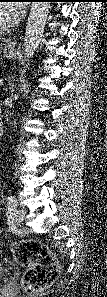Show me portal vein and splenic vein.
Here are the masks:
<instances>
[{"mask_svg": "<svg viewBox=\"0 0 107 297\" xmlns=\"http://www.w3.org/2000/svg\"><path fill=\"white\" fill-rule=\"evenodd\" d=\"M0 84H3V79H0Z\"/></svg>", "mask_w": 107, "mask_h": 297, "instance_id": "1", "label": "portal vein and splenic vein"}]
</instances>
